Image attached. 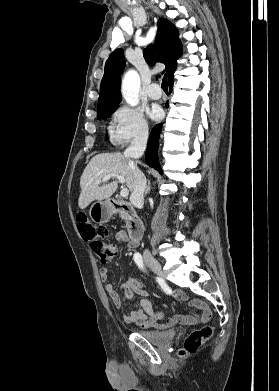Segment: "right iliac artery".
<instances>
[{
    "label": "right iliac artery",
    "instance_id": "obj_1",
    "mask_svg": "<svg viewBox=\"0 0 279 391\" xmlns=\"http://www.w3.org/2000/svg\"><path fill=\"white\" fill-rule=\"evenodd\" d=\"M133 258H134L135 263L138 265V267L141 270L145 271V266H144L141 254L137 252V253L134 254Z\"/></svg>",
    "mask_w": 279,
    "mask_h": 391
}]
</instances>
